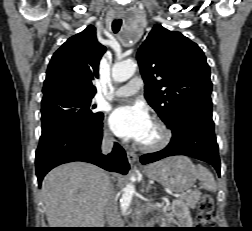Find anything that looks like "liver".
I'll list each match as a JSON object with an SVG mask.
<instances>
[{
	"instance_id": "obj_1",
	"label": "liver",
	"mask_w": 252,
	"mask_h": 231,
	"mask_svg": "<svg viewBox=\"0 0 252 231\" xmlns=\"http://www.w3.org/2000/svg\"><path fill=\"white\" fill-rule=\"evenodd\" d=\"M110 183L101 168L71 162L50 171L42 183V195L50 228H102L103 196Z\"/></svg>"
}]
</instances>
